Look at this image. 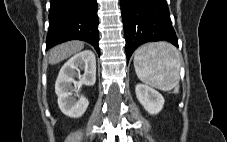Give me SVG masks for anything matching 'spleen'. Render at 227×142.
I'll list each match as a JSON object with an SVG mask.
<instances>
[{
    "mask_svg": "<svg viewBox=\"0 0 227 142\" xmlns=\"http://www.w3.org/2000/svg\"><path fill=\"white\" fill-rule=\"evenodd\" d=\"M134 67L138 78L159 90L179 91L180 54L167 42L149 43L134 54Z\"/></svg>",
    "mask_w": 227,
    "mask_h": 142,
    "instance_id": "obj_1",
    "label": "spleen"
}]
</instances>
